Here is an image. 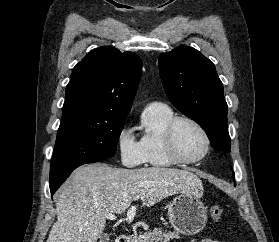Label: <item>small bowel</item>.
<instances>
[{
    "mask_svg": "<svg viewBox=\"0 0 279 242\" xmlns=\"http://www.w3.org/2000/svg\"><path fill=\"white\" fill-rule=\"evenodd\" d=\"M199 242H221V241H218V240H215V239H211V238H206V239H203Z\"/></svg>",
    "mask_w": 279,
    "mask_h": 242,
    "instance_id": "1",
    "label": "small bowel"
}]
</instances>
